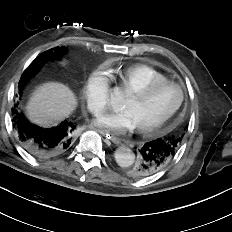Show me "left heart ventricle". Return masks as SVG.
<instances>
[{
  "label": "left heart ventricle",
  "instance_id": "b2bd125f",
  "mask_svg": "<svg viewBox=\"0 0 232 232\" xmlns=\"http://www.w3.org/2000/svg\"><path fill=\"white\" fill-rule=\"evenodd\" d=\"M179 99V89L175 86H166L156 90L144 100L128 95L121 109L132 114L137 127L148 126L167 115Z\"/></svg>",
  "mask_w": 232,
  "mask_h": 232
}]
</instances>
